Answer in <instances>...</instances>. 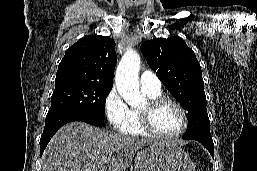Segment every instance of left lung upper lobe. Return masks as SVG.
<instances>
[{
	"label": "left lung upper lobe",
	"instance_id": "obj_1",
	"mask_svg": "<svg viewBox=\"0 0 257 171\" xmlns=\"http://www.w3.org/2000/svg\"><path fill=\"white\" fill-rule=\"evenodd\" d=\"M148 65L187 111L183 137H211L201 66L183 39L156 38L141 45Z\"/></svg>",
	"mask_w": 257,
	"mask_h": 171
}]
</instances>
